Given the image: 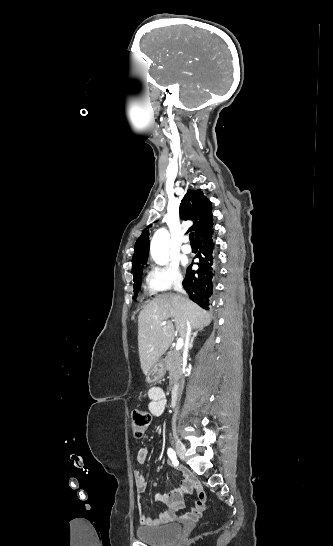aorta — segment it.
Segmentation results:
<instances>
[{
    "instance_id": "obj_1",
    "label": "aorta",
    "mask_w": 333,
    "mask_h": 546,
    "mask_svg": "<svg viewBox=\"0 0 333 546\" xmlns=\"http://www.w3.org/2000/svg\"><path fill=\"white\" fill-rule=\"evenodd\" d=\"M168 240L169 232L166 229H159L152 238L150 254L154 261L159 265H165L168 262V259L166 258Z\"/></svg>"
}]
</instances>
